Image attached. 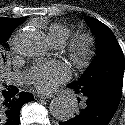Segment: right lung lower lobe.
Listing matches in <instances>:
<instances>
[{
	"mask_svg": "<svg viewBox=\"0 0 125 125\" xmlns=\"http://www.w3.org/2000/svg\"><path fill=\"white\" fill-rule=\"evenodd\" d=\"M33 100L34 96L31 93H19L15 86L3 90L0 95V125H19L22 105Z\"/></svg>",
	"mask_w": 125,
	"mask_h": 125,
	"instance_id": "right-lung-lower-lobe-1",
	"label": "right lung lower lobe"
}]
</instances>
